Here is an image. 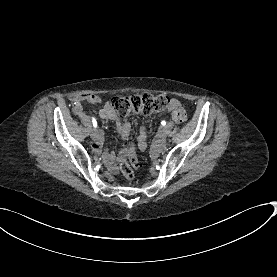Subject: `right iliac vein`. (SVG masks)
Listing matches in <instances>:
<instances>
[{
    "mask_svg": "<svg viewBox=\"0 0 277 277\" xmlns=\"http://www.w3.org/2000/svg\"><path fill=\"white\" fill-rule=\"evenodd\" d=\"M91 137L94 141L99 139V131L95 128L92 129L91 131Z\"/></svg>",
    "mask_w": 277,
    "mask_h": 277,
    "instance_id": "1",
    "label": "right iliac vein"
}]
</instances>
